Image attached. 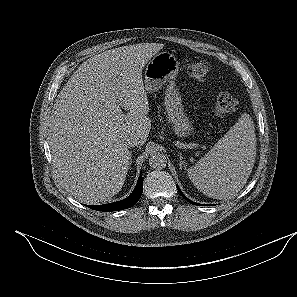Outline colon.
Masks as SVG:
<instances>
[{"mask_svg": "<svg viewBox=\"0 0 297 297\" xmlns=\"http://www.w3.org/2000/svg\"><path fill=\"white\" fill-rule=\"evenodd\" d=\"M188 74L198 82L204 81L209 73L210 65L207 61L196 60L186 63ZM237 109L236 99L228 93H220L215 102V113L224 116L233 113Z\"/></svg>", "mask_w": 297, "mask_h": 297, "instance_id": "colon-1", "label": "colon"}]
</instances>
